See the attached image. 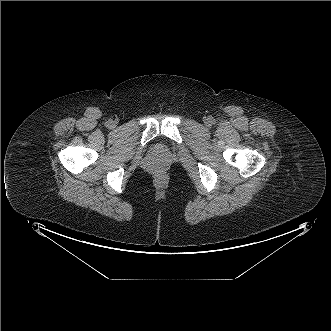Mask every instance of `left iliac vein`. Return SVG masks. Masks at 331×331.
I'll use <instances>...</instances> for the list:
<instances>
[{
	"mask_svg": "<svg viewBox=\"0 0 331 331\" xmlns=\"http://www.w3.org/2000/svg\"><path fill=\"white\" fill-rule=\"evenodd\" d=\"M210 123H211V122H210V120H208V119L205 121V124H206L207 126H209Z\"/></svg>",
	"mask_w": 331,
	"mask_h": 331,
	"instance_id": "left-iliac-vein-1",
	"label": "left iliac vein"
}]
</instances>
